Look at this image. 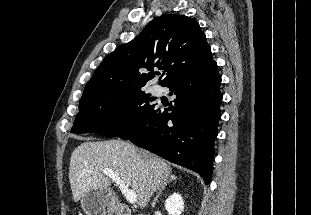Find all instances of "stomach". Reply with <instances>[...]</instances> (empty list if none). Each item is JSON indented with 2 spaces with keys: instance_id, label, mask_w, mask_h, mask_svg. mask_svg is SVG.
I'll list each match as a JSON object with an SVG mask.
<instances>
[{
  "instance_id": "obj_1",
  "label": "stomach",
  "mask_w": 311,
  "mask_h": 215,
  "mask_svg": "<svg viewBox=\"0 0 311 215\" xmlns=\"http://www.w3.org/2000/svg\"><path fill=\"white\" fill-rule=\"evenodd\" d=\"M81 207L86 215H115L117 204L110 189L96 188L84 194Z\"/></svg>"
}]
</instances>
